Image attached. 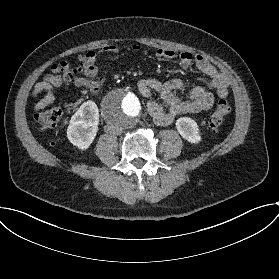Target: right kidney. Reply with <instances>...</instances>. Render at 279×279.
<instances>
[{
  "label": "right kidney",
  "mask_w": 279,
  "mask_h": 279,
  "mask_svg": "<svg viewBox=\"0 0 279 279\" xmlns=\"http://www.w3.org/2000/svg\"><path fill=\"white\" fill-rule=\"evenodd\" d=\"M98 124V107L95 102L88 100L71 117L67 128V137L79 149H87L96 136Z\"/></svg>",
  "instance_id": "obj_1"
}]
</instances>
